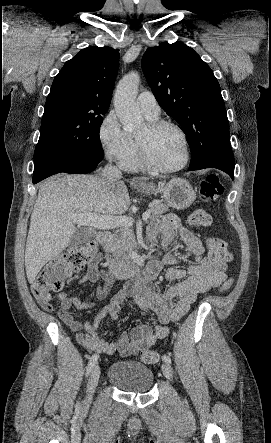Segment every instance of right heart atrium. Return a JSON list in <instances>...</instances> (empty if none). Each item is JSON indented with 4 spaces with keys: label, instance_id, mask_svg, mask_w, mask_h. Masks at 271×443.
Here are the masks:
<instances>
[{
    "label": "right heart atrium",
    "instance_id": "obj_1",
    "mask_svg": "<svg viewBox=\"0 0 271 443\" xmlns=\"http://www.w3.org/2000/svg\"><path fill=\"white\" fill-rule=\"evenodd\" d=\"M99 144L105 155L124 164L132 151L130 137L123 131L114 111H109L100 121L97 129Z\"/></svg>",
    "mask_w": 271,
    "mask_h": 443
}]
</instances>
